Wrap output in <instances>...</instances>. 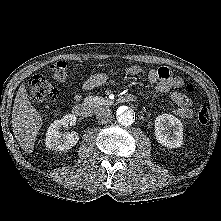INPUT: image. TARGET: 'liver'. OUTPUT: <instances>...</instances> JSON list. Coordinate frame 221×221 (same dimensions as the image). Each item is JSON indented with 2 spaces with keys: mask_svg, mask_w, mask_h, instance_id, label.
<instances>
[{
  "mask_svg": "<svg viewBox=\"0 0 221 221\" xmlns=\"http://www.w3.org/2000/svg\"><path fill=\"white\" fill-rule=\"evenodd\" d=\"M42 118L31 105L25 85L22 83L16 93L12 110V127L16 140L26 153H31Z\"/></svg>",
  "mask_w": 221,
  "mask_h": 221,
  "instance_id": "obj_1",
  "label": "liver"
}]
</instances>
